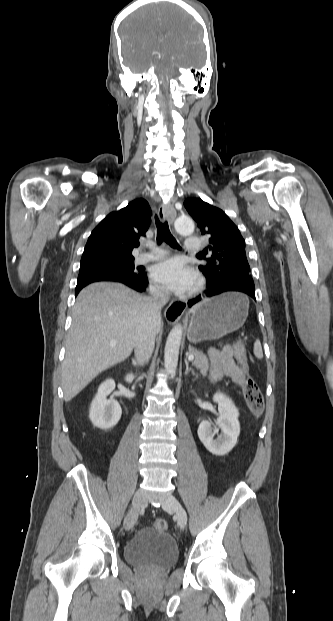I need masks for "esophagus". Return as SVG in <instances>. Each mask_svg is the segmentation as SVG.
Returning <instances> with one entry per match:
<instances>
[{
	"mask_svg": "<svg viewBox=\"0 0 333 621\" xmlns=\"http://www.w3.org/2000/svg\"><path fill=\"white\" fill-rule=\"evenodd\" d=\"M158 217L160 220L166 219L168 222L173 223L176 218V210L169 204H161L158 209ZM186 309V303L184 301H176L169 304L165 310V318L169 324H174L183 315Z\"/></svg>",
	"mask_w": 333,
	"mask_h": 621,
	"instance_id": "obj_1",
	"label": "esophagus"
}]
</instances>
